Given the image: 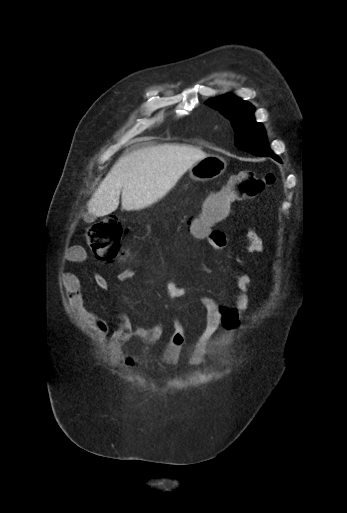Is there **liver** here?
Segmentation results:
<instances>
[{"label":"liver","mask_w":347,"mask_h":513,"mask_svg":"<svg viewBox=\"0 0 347 513\" xmlns=\"http://www.w3.org/2000/svg\"><path fill=\"white\" fill-rule=\"evenodd\" d=\"M206 156L199 148L173 144L141 148L122 156L88 202L84 220L87 221L88 215L96 219L114 212L120 195L122 208L127 211L150 206L163 197L187 169Z\"/></svg>","instance_id":"obj_1"}]
</instances>
